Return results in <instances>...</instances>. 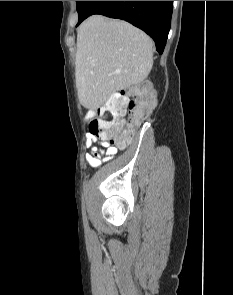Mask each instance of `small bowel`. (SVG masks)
Listing matches in <instances>:
<instances>
[{"label":"small bowel","instance_id":"c3829d8e","mask_svg":"<svg viewBox=\"0 0 233 295\" xmlns=\"http://www.w3.org/2000/svg\"><path fill=\"white\" fill-rule=\"evenodd\" d=\"M97 142V137L92 134L86 138L85 147L90 150V153L86 154L85 159L91 167L99 166L101 162L112 159L117 153L116 147L109 146L106 142H103L101 147H97L95 145Z\"/></svg>","mask_w":233,"mask_h":295}]
</instances>
